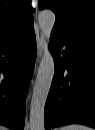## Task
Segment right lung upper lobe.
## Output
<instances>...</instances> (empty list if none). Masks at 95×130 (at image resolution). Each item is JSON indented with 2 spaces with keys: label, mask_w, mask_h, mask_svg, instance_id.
<instances>
[{
  "label": "right lung upper lobe",
  "mask_w": 95,
  "mask_h": 130,
  "mask_svg": "<svg viewBox=\"0 0 95 130\" xmlns=\"http://www.w3.org/2000/svg\"><path fill=\"white\" fill-rule=\"evenodd\" d=\"M31 0H0V44L33 28Z\"/></svg>",
  "instance_id": "right-lung-upper-lobe-1"
}]
</instances>
